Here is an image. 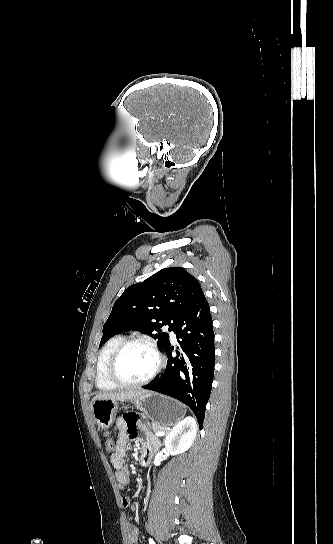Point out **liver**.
<instances>
[{"label":"liver","mask_w":333,"mask_h":544,"mask_svg":"<svg viewBox=\"0 0 333 544\" xmlns=\"http://www.w3.org/2000/svg\"><path fill=\"white\" fill-rule=\"evenodd\" d=\"M148 393L146 390H127L122 392H104L97 394L92 401L98 399H111L118 401L133 400L139 396Z\"/></svg>","instance_id":"6515ba94"}]
</instances>
